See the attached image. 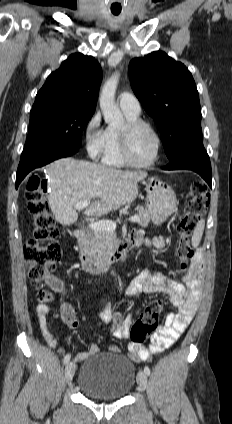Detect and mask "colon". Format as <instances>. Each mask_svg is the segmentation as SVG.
I'll list each match as a JSON object with an SVG mask.
<instances>
[{"instance_id":"colon-1","label":"colon","mask_w":232,"mask_h":424,"mask_svg":"<svg viewBox=\"0 0 232 424\" xmlns=\"http://www.w3.org/2000/svg\"><path fill=\"white\" fill-rule=\"evenodd\" d=\"M45 181L38 175H32L26 185L25 197L28 210L34 223V234L23 250L30 282L39 289L38 300L45 304L52 301L53 295L44 287L52 282L51 273L59 259V248L55 243L60 232L51 216L46 200ZM209 205L206 186L199 180L192 182L186 210L178 222L177 256L182 269L189 266L194 255L191 246L193 236L201 216ZM164 298L151 301L135 321L130 330L132 343L141 345L158 325L159 316L164 308Z\"/></svg>"}]
</instances>
